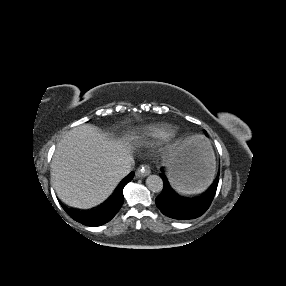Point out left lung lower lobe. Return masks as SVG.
Masks as SVG:
<instances>
[{"instance_id":"1","label":"left lung lower lobe","mask_w":286,"mask_h":286,"mask_svg":"<svg viewBox=\"0 0 286 286\" xmlns=\"http://www.w3.org/2000/svg\"><path fill=\"white\" fill-rule=\"evenodd\" d=\"M219 174L220 170L212 186L203 195L187 198L178 195L169 185L164 173H161L164 188L156 198L157 207L164 215L178 220L194 219L203 215L215 196Z\"/></svg>"}]
</instances>
